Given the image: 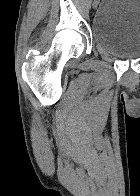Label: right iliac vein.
<instances>
[{
  "label": "right iliac vein",
  "instance_id": "63e3f726",
  "mask_svg": "<svg viewBox=\"0 0 140 196\" xmlns=\"http://www.w3.org/2000/svg\"><path fill=\"white\" fill-rule=\"evenodd\" d=\"M97 1H94V3H93V7L95 8L96 6H97Z\"/></svg>",
  "mask_w": 140,
  "mask_h": 196
}]
</instances>
